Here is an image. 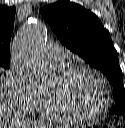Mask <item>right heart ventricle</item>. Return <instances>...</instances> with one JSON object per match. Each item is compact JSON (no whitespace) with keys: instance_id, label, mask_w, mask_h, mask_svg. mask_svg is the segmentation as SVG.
Here are the masks:
<instances>
[{"instance_id":"right-heart-ventricle-1","label":"right heart ventricle","mask_w":125,"mask_h":128,"mask_svg":"<svg viewBox=\"0 0 125 128\" xmlns=\"http://www.w3.org/2000/svg\"><path fill=\"white\" fill-rule=\"evenodd\" d=\"M35 115L46 121L67 122V120L55 109L50 96H44L41 104L35 111Z\"/></svg>"}]
</instances>
